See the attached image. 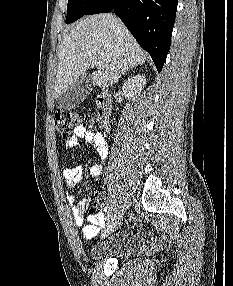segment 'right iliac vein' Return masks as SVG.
<instances>
[{"instance_id": "right-iliac-vein-1", "label": "right iliac vein", "mask_w": 233, "mask_h": 286, "mask_svg": "<svg viewBox=\"0 0 233 286\" xmlns=\"http://www.w3.org/2000/svg\"><path fill=\"white\" fill-rule=\"evenodd\" d=\"M122 218V214L118 213L115 215L110 221H108L105 231H104V236L111 234L112 232L115 231L117 225L120 223Z\"/></svg>"}]
</instances>
